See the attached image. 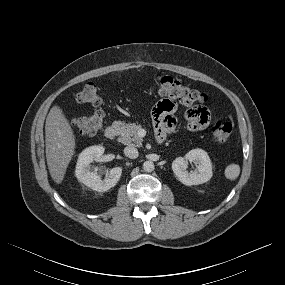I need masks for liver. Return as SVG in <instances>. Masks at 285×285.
Instances as JSON below:
<instances>
[{"mask_svg": "<svg viewBox=\"0 0 285 285\" xmlns=\"http://www.w3.org/2000/svg\"><path fill=\"white\" fill-rule=\"evenodd\" d=\"M46 159L50 175L60 184L75 151L74 131L58 105H54L45 124Z\"/></svg>", "mask_w": 285, "mask_h": 285, "instance_id": "liver-1", "label": "liver"}]
</instances>
